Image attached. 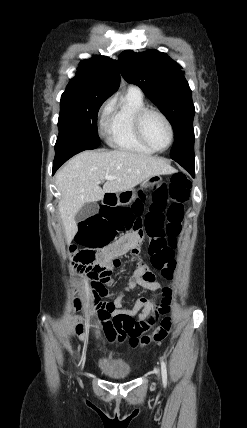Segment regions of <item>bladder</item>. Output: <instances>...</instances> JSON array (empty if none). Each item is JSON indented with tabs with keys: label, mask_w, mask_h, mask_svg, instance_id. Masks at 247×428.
<instances>
[{
	"label": "bladder",
	"mask_w": 247,
	"mask_h": 428,
	"mask_svg": "<svg viewBox=\"0 0 247 428\" xmlns=\"http://www.w3.org/2000/svg\"><path fill=\"white\" fill-rule=\"evenodd\" d=\"M98 367L105 376L114 380H126L132 375L129 363L112 353L103 354L99 358Z\"/></svg>",
	"instance_id": "1"
}]
</instances>
